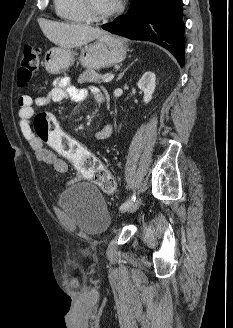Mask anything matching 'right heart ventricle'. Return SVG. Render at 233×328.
Segmentation results:
<instances>
[{
  "instance_id": "obj_1",
  "label": "right heart ventricle",
  "mask_w": 233,
  "mask_h": 328,
  "mask_svg": "<svg viewBox=\"0 0 233 328\" xmlns=\"http://www.w3.org/2000/svg\"><path fill=\"white\" fill-rule=\"evenodd\" d=\"M57 15L69 22L87 21L80 0H54Z\"/></svg>"
}]
</instances>
